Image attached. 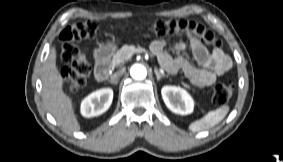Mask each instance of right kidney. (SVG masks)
Instances as JSON below:
<instances>
[{
    "instance_id": "obj_1",
    "label": "right kidney",
    "mask_w": 283,
    "mask_h": 162,
    "mask_svg": "<svg viewBox=\"0 0 283 162\" xmlns=\"http://www.w3.org/2000/svg\"><path fill=\"white\" fill-rule=\"evenodd\" d=\"M113 100V90L103 88L92 92L81 103V114L90 118L106 112Z\"/></svg>"
}]
</instances>
